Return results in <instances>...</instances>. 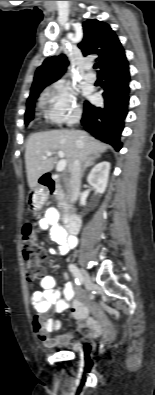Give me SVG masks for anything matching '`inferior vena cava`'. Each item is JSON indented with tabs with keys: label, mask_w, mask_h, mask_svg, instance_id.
I'll return each instance as SVG.
<instances>
[{
	"label": "inferior vena cava",
	"mask_w": 155,
	"mask_h": 395,
	"mask_svg": "<svg viewBox=\"0 0 155 395\" xmlns=\"http://www.w3.org/2000/svg\"><path fill=\"white\" fill-rule=\"evenodd\" d=\"M82 168V161L81 159H76L70 169V179H69V199L70 202H74L77 200L79 195V188L81 182V170Z\"/></svg>",
	"instance_id": "inferior-vena-cava-1"
}]
</instances>
